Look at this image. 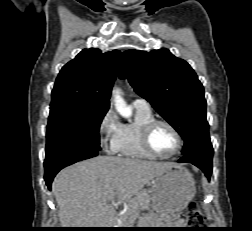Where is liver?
<instances>
[{"instance_id": "1", "label": "liver", "mask_w": 252, "mask_h": 231, "mask_svg": "<svg viewBox=\"0 0 252 231\" xmlns=\"http://www.w3.org/2000/svg\"><path fill=\"white\" fill-rule=\"evenodd\" d=\"M173 167L168 162L98 156L63 169L52 191L63 228H112L117 223L108 196L128 203L156 176Z\"/></svg>"}]
</instances>
